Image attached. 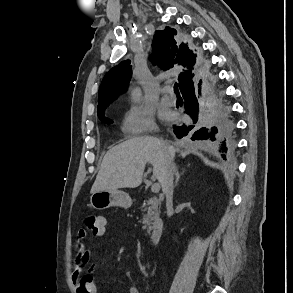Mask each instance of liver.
<instances>
[{
    "instance_id": "liver-1",
    "label": "liver",
    "mask_w": 293,
    "mask_h": 293,
    "mask_svg": "<svg viewBox=\"0 0 293 293\" xmlns=\"http://www.w3.org/2000/svg\"><path fill=\"white\" fill-rule=\"evenodd\" d=\"M174 156L175 148L158 138L145 136L129 139L106 153L91 193L140 186L147 163L152 164L153 176L162 184L167 163Z\"/></svg>"
}]
</instances>
